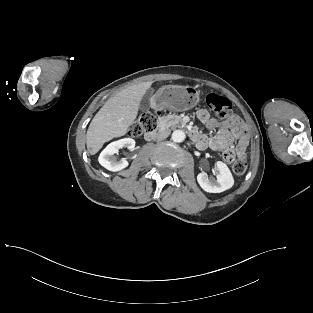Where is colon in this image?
<instances>
[{
  "label": "colon",
  "instance_id": "5ec220e1",
  "mask_svg": "<svg viewBox=\"0 0 313 313\" xmlns=\"http://www.w3.org/2000/svg\"><path fill=\"white\" fill-rule=\"evenodd\" d=\"M206 103L210 109L218 113L220 116L229 115L232 109L231 101L218 94H209L206 98ZM158 114L154 111H143L130 127L132 136H140L156 129L158 124ZM223 158L232 163L233 172L237 175H242L247 169V161L244 157H234L232 151L223 153Z\"/></svg>",
  "mask_w": 313,
  "mask_h": 313
}]
</instances>
